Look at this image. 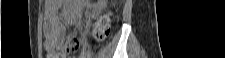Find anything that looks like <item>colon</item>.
<instances>
[{
  "instance_id": "5ec220e1",
  "label": "colon",
  "mask_w": 225,
  "mask_h": 58,
  "mask_svg": "<svg viewBox=\"0 0 225 58\" xmlns=\"http://www.w3.org/2000/svg\"><path fill=\"white\" fill-rule=\"evenodd\" d=\"M110 32V20L107 16H101L95 24L94 31H93V39L96 42H101L107 38ZM79 40L72 36L70 37L65 46H64V52L67 54H70L71 52L77 50L79 48Z\"/></svg>"
}]
</instances>
